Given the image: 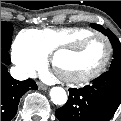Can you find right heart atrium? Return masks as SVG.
<instances>
[{
  "mask_svg": "<svg viewBox=\"0 0 121 121\" xmlns=\"http://www.w3.org/2000/svg\"><path fill=\"white\" fill-rule=\"evenodd\" d=\"M15 59L26 70L31 71L41 62V56L32 48L18 46L15 51Z\"/></svg>",
  "mask_w": 121,
  "mask_h": 121,
  "instance_id": "obj_1",
  "label": "right heart atrium"
}]
</instances>
